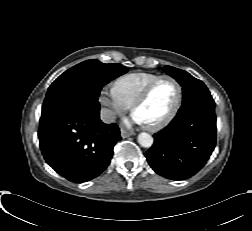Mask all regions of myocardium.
<instances>
[{
    "mask_svg": "<svg viewBox=\"0 0 252 231\" xmlns=\"http://www.w3.org/2000/svg\"><path fill=\"white\" fill-rule=\"evenodd\" d=\"M164 79H169L171 80L175 86H176V100L175 103L169 112V114L162 119L161 121L152 124V125H145V127L150 130V131H158L164 127H166L168 124L171 123V121L175 118L177 115L181 104H182V98H183V90L180 82L173 76L171 75H161L155 80H153L151 83H149L146 88L141 92V94L138 96V98L134 101L132 104V112L135 114V111L139 106H141L150 96L153 88L162 80Z\"/></svg>",
    "mask_w": 252,
    "mask_h": 231,
    "instance_id": "obj_1",
    "label": "myocardium"
}]
</instances>
